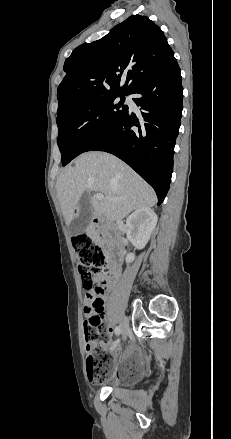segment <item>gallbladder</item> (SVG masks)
<instances>
[{"label": "gallbladder", "instance_id": "gallbladder-1", "mask_svg": "<svg viewBox=\"0 0 231 439\" xmlns=\"http://www.w3.org/2000/svg\"><path fill=\"white\" fill-rule=\"evenodd\" d=\"M79 215L69 225V232L76 235L85 231L90 223L92 216V207L87 194H84L79 201Z\"/></svg>", "mask_w": 231, "mask_h": 439}]
</instances>
